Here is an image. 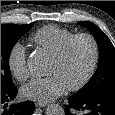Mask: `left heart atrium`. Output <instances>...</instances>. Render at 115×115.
<instances>
[{
    "label": "left heart atrium",
    "mask_w": 115,
    "mask_h": 115,
    "mask_svg": "<svg viewBox=\"0 0 115 115\" xmlns=\"http://www.w3.org/2000/svg\"><path fill=\"white\" fill-rule=\"evenodd\" d=\"M67 89L64 82L56 75L32 80L21 89V96L39 103L52 101Z\"/></svg>",
    "instance_id": "39dd6f15"
}]
</instances>
